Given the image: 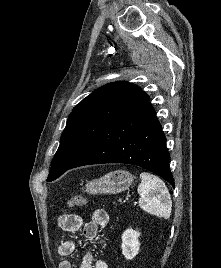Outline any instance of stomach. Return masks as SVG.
Segmentation results:
<instances>
[{
  "mask_svg": "<svg viewBox=\"0 0 221 268\" xmlns=\"http://www.w3.org/2000/svg\"><path fill=\"white\" fill-rule=\"evenodd\" d=\"M134 176L125 170L112 171L99 179L88 182L85 191L89 194H115L127 189Z\"/></svg>",
  "mask_w": 221,
  "mask_h": 268,
  "instance_id": "1",
  "label": "stomach"
}]
</instances>
